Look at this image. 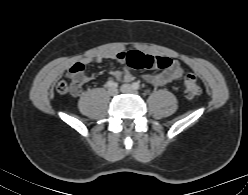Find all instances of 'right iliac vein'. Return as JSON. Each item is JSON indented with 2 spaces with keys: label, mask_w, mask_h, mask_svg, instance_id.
I'll use <instances>...</instances> for the list:
<instances>
[{
  "label": "right iliac vein",
  "mask_w": 248,
  "mask_h": 195,
  "mask_svg": "<svg viewBox=\"0 0 248 195\" xmlns=\"http://www.w3.org/2000/svg\"><path fill=\"white\" fill-rule=\"evenodd\" d=\"M108 94H109L110 96H116V95L118 94L117 88H115V87L109 88V89H108Z\"/></svg>",
  "instance_id": "63e3f726"
}]
</instances>
